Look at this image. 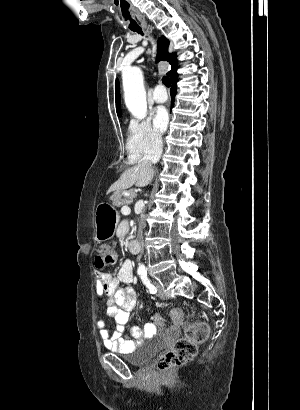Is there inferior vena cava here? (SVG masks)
Returning <instances> with one entry per match:
<instances>
[{
    "mask_svg": "<svg viewBox=\"0 0 300 410\" xmlns=\"http://www.w3.org/2000/svg\"><path fill=\"white\" fill-rule=\"evenodd\" d=\"M152 146L153 149L149 150L146 152L144 158L141 160L139 163L140 166L142 167H151L153 163H156L160 156H161V151H162V138L160 135H156L152 141ZM144 225L143 221V215H141L140 218V225H139V237L137 238L139 248L141 251L145 250V239L142 237V228Z\"/></svg>",
    "mask_w": 300,
    "mask_h": 410,
    "instance_id": "1",
    "label": "inferior vena cava"
}]
</instances>
